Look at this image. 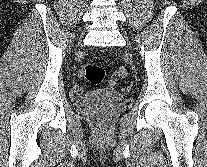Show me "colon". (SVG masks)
Wrapping results in <instances>:
<instances>
[{
	"label": "colon",
	"instance_id": "obj_1",
	"mask_svg": "<svg viewBox=\"0 0 207 167\" xmlns=\"http://www.w3.org/2000/svg\"><path fill=\"white\" fill-rule=\"evenodd\" d=\"M80 77L87 80L92 84H99L103 81L105 71L102 67L95 64H86L79 72ZM128 75L126 68H119L109 79L111 86L118 83L119 80L125 78Z\"/></svg>",
	"mask_w": 207,
	"mask_h": 167
}]
</instances>
